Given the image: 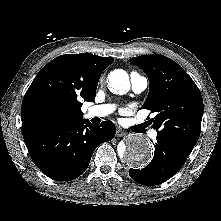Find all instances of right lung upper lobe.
<instances>
[{
	"mask_svg": "<svg viewBox=\"0 0 221 221\" xmlns=\"http://www.w3.org/2000/svg\"><path fill=\"white\" fill-rule=\"evenodd\" d=\"M113 61L91 53L66 54L50 61L23 98V135L85 121L82 101L94 100L99 78Z\"/></svg>",
	"mask_w": 221,
	"mask_h": 221,
	"instance_id": "cb5924a9",
	"label": "right lung upper lobe"
}]
</instances>
